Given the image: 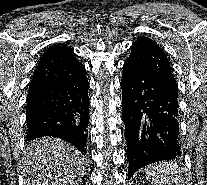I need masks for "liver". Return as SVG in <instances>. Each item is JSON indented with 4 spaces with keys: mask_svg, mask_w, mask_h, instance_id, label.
<instances>
[{
    "mask_svg": "<svg viewBox=\"0 0 207 185\" xmlns=\"http://www.w3.org/2000/svg\"><path fill=\"white\" fill-rule=\"evenodd\" d=\"M23 161L25 185H77L86 171L82 153L56 137L31 141Z\"/></svg>",
    "mask_w": 207,
    "mask_h": 185,
    "instance_id": "1",
    "label": "liver"
}]
</instances>
